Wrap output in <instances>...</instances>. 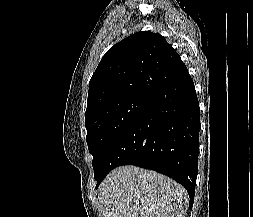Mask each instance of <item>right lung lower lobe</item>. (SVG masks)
Listing matches in <instances>:
<instances>
[{
	"label": "right lung lower lobe",
	"mask_w": 253,
	"mask_h": 217,
	"mask_svg": "<svg viewBox=\"0 0 253 217\" xmlns=\"http://www.w3.org/2000/svg\"><path fill=\"white\" fill-rule=\"evenodd\" d=\"M200 110L194 83L185 67L166 87L149 98L111 150L105 173L135 165L167 175L193 197L198 170Z\"/></svg>",
	"instance_id": "98d812e1"
}]
</instances>
